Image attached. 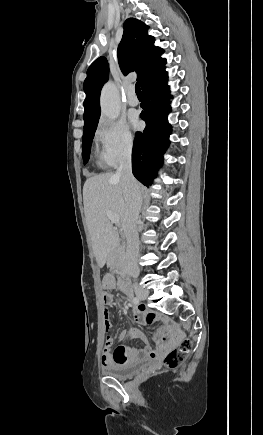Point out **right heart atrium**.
I'll return each instance as SVG.
<instances>
[{
	"mask_svg": "<svg viewBox=\"0 0 263 435\" xmlns=\"http://www.w3.org/2000/svg\"><path fill=\"white\" fill-rule=\"evenodd\" d=\"M95 139L101 148V159L115 166L129 157L134 147V136L124 120L102 118L95 131Z\"/></svg>",
	"mask_w": 263,
	"mask_h": 435,
	"instance_id": "1",
	"label": "right heart atrium"
}]
</instances>
